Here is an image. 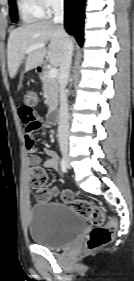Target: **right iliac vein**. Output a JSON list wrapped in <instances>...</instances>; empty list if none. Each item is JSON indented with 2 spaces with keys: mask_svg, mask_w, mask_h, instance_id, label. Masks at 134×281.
I'll use <instances>...</instances> for the list:
<instances>
[{
  "mask_svg": "<svg viewBox=\"0 0 134 281\" xmlns=\"http://www.w3.org/2000/svg\"><path fill=\"white\" fill-rule=\"evenodd\" d=\"M61 152L63 154L64 160L66 162L67 167L69 168V157H68V148L67 147H62Z\"/></svg>",
  "mask_w": 134,
  "mask_h": 281,
  "instance_id": "1",
  "label": "right iliac vein"
}]
</instances>
